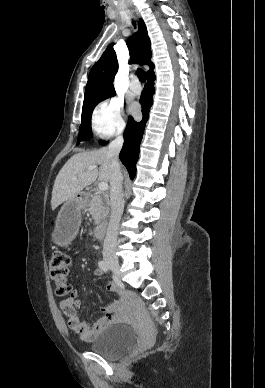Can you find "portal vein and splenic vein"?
<instances>
[{
    "label": "portal vein and splenic vein",
    "instance_id": "18ae733b",
    "mask_svg": "<svg viewBox=\"0 0 265 388\" xmlns=\"http://www.w3.org/2000/svg\"><path fill=\"white\" fill-rule=\"evenodd\" d=\"M97 166H89V168H87V170H96ZM72 180H77L76 176L75 178H72ZM99 186V190H101V192H105V190H108V184L107 182H100V184H98Z\"/></svg>",
    "mask_w": 265,
    "mask_h": 388
}]
</instances>
